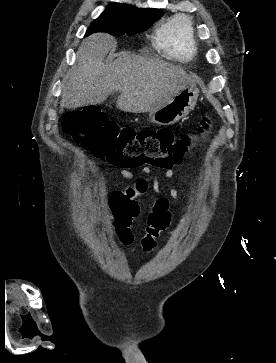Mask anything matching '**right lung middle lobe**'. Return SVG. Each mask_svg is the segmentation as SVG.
<instances>
[{
    "instance_id": "1",
    "label": "right lung middle lobe",
    "mask_w": 276,
    "mask_h": 363,
    "mask_svg": "<svg viewBox=\"0 0 276 363\" xmlns=\"http://www.w3.org/2000/svg\"><path fill=\"white\" fill-rule=\"evenodd\" d=\"M163 15L159 9H138L133 6H108L89 26L86 35L106 32L115 36L145 31Z\"/></svg>"
}]
</instances>
